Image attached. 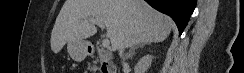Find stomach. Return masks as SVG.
Here are the masks:
<instances>
[{
	"label": "stomach",
	"mask_w": 244,
	"mask_h": 73,
	"mask_svg": "<svg viewBox=\"0 0 244 73\" xmlns=\"http://www.w3.org/2000/svg\"><path fill=\"white\" fill-rule=\"evenodd\" d=\"M70 57L75 61H83L88 54V43L84 40H71L67 43Z\"/></svg>",
	"instance_id": "0dacf381"
}]
</instances>
